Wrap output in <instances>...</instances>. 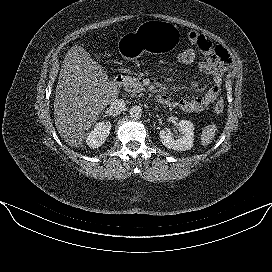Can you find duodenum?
I'll return each instance as SVG.
<instances>
[{"label":"duodenum","mask_w":272,"mask_h":272,"mask_svg":"<svg viewBox=\"0 0 272 272\" xmlns=\"http://www.w3.org/2000/svg\"><path fill=\"white\" fill-rule=\"evenodd\" d=\"M125 82V76L123 74H119L115 77V83L118 86H121ZM155 100L163 105H168L170 103V98L167 95H156Z\"/></svg>","instance_id":"duodenum-1"}]
</instances>
